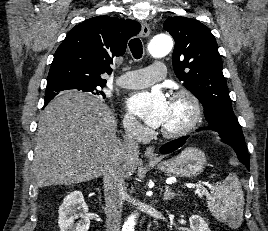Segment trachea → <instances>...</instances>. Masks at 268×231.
<instances>
[{
    "label": "trachea",
    "instance_id": "obj_1",
    "mask_svg": "<svg viewBox=\"0 0 268 231\" xmlns=\"http://www.w3.org/2000/svg\"><path fill=\"white\" fill-rule=\"evenodd\" d=\"M130 51L135 59H140L143 54L142 42L139 38H133L129 42Z\"/></svg>",
    "mask_w": 268,
    "mask_h": 231
}]
</instances>
